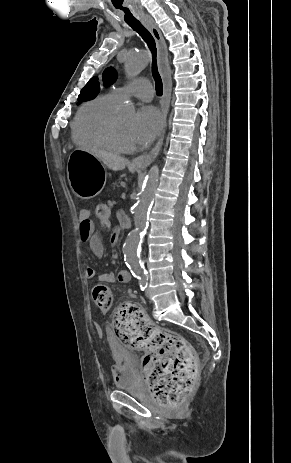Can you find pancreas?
Listing matches in <instances>:
<instances>
[{"label": "pancreas", "instance_id": "1", "mask_svg": "<svg viewBox=\"0 0 291 463\" xmlns=\"http://www.w3.org/2000/svg\"><path fill=\"white\" fill-rule=\"evenodd\" d=\"M122 184L121 180L112 182L108 186V191L113 195H119L121 193Z\"/></svg>", "mask_w": 291, "mask_h": 463}]
</instances>
